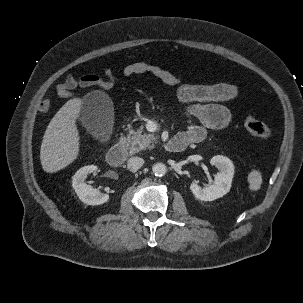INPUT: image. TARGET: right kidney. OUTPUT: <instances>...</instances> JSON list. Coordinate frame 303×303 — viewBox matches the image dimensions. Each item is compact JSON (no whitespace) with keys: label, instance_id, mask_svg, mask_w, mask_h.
Returning a JSON list of instances; mask_svg holds the SVG:
<instances>
[{"label":"right kidney","instance_id":"1","mask_svg":"<svg viewBox=\"0 0 303 303\" xmlns=\"http://www.w3.org/2000/svg\"><path fill=\"white\" fill-rule=\"evenodd\" d=\"M98 168L88 165L80 168L72 177V187L79 199L87 205H101L109 200L107 194H102L97 189L85 183L87 176Z\"/></svg>","mask_w":303,"mask_h":303}]
</instances>
